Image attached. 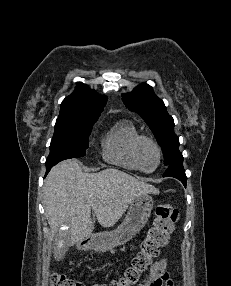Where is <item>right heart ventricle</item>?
<instances>
[{
    "instance_id": "1",
    "label": "right heart ventricle",
    "mask_w": 231,
    "mask_h": 286,
    "mask_svg": "<svg viewBox=\"0 0 231 286\" xmlns=\"http://www.w3.org/2000/svg\"><path fill=\"white\" fill-rule=\"evenodd\" d=\"M139 131L130 120H120L115 123L101 140L102 158L115 166L126 170H138L133 157L132 145Z\"/></svg>"
}]
</instances>
